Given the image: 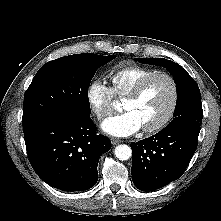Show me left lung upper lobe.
I'll return each mask as SVG.
<instances>
[{
    "instance_id": "1",
    "label": "left lung upper lobe",
    "mask_w": 221,
    "mask_h": 221,
    "mask_svg": "<svg viewBox=\"0 0 221 221\" xmlns=\"http://www.w3.org/2000/svg\"><path fill=\"white\" fill-rule=\"evenodd\" d=\"M143 64H153L165 67L173 76L177 87V104L174 119L168 126L196 122L203 117L200 90L194 79L179 64L164 58H135Z\"/></svg>"
}]
</instances>
